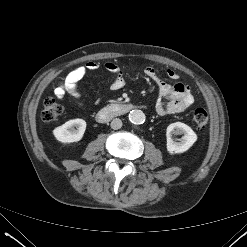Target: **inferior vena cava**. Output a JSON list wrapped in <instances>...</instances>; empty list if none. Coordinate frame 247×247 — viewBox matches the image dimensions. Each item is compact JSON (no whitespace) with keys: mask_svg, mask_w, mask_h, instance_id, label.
I'll return each instance as SVG.
<instances>
[{"mask_svg":"<svg viewBox=\"0 0 247 247\" xmlns=\"http://www.w3.org/2000/svg\"><path fill=\"white\" fill-rule=\"evenodd\" d=\"M122 127V121L119 118H115L111 121V128L114 130L120 129Z\"/></svg>","mask_w":247,"mask_h":247,"instance_id":"obj_1","label":"inferior vena cava"}]
</instances>
